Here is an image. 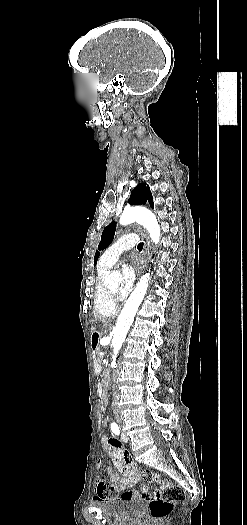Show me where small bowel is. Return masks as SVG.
<instances>
[{
    "instance_id": "small-bowel-1",
    "label": "small bowel",
    "mask_w": 247,
    "mask_h": 525,
    "mask_svg": "<svg viewBox=\"0 0 247 525\" xmlns=\"http://www.w3.org/2000/svg\"><path fill=\"white\" fill-rule=\"evenodd\" d=\"M102 442L104 452L111 458L114 465V467L107 468L105 473L115 484L117 490L121 491L120 499L123 501H132L137 498L140 493L147 494L149 488L146 485L141 487V492L131 489L139 480L140 467L128 451L121 447L120 442L116 438L108 435L102 437ZM97 465L101 467L102 461L98 460ZM98 487V502L103 504L105 502L104 498L108 496L109 491L112 489V484L99 480Z\"/></svg>"
}]
</instances>
